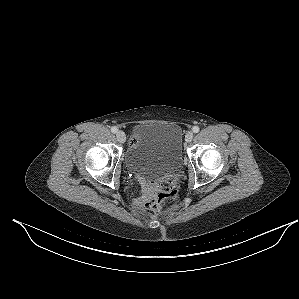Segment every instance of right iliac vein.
<instances>
[{
	"label": "right iliac vein",
	"mask_w": 299,
	"mask_h": 299,
	"mask_svg": "<svg viewBox=\"0 0 299 299\" xmlns=\"http://www.w3.org/2000/svg\"><path fill=\"white\" fill-rule=\"evenodd\" d=\"M116 138H117V140H118L120 143H124L126 137H125V134H124L123 131H118V132L116 133Z\"/></svg>",
	"instance_id": "63e3f726"
}]
</instances>
